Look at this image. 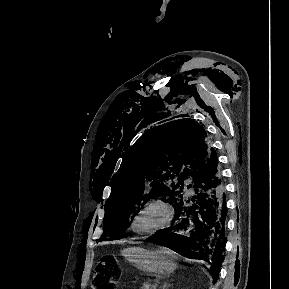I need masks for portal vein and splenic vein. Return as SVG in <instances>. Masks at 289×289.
Segmentation results:
<instances>
[{"mask_svg":"<svg viewBox=\"0 0 289 289\" xmlns=\"http://www.w3.org/2000/svg\"><path fill=\"white\" fill-rule=\"evenodd\" d=\"M154 289H156V285H154Z\"/></svg>","mask_w":289,"mask_h":289,"instance_id":"18ae733b","label":"portal vein and splenic vein"}]
</instances>
